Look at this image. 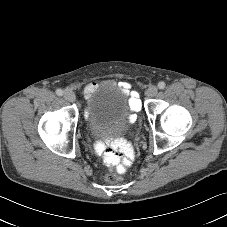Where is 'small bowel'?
<instances>
[{
	"mask_svg": "<svg viewBox=\"0 0 227 227\" xmlns=\"http://www.w3.org/2000/svg\"><path fill=\"white\" fill-rule=\"evenodd\" d=\"M119 88L130 95V106L134 109V110H138L139 106H140V102L138 99V94L135 91L131 90V86L129 83L127 82H120L119 84ZM98 87V83L96 82H92L89 83L88 85L85 86L84 88V94L86 96H89L92 92L95 91V89ZM103 150V146L102 145H97V151H101ZM124 154V158L122 159L121 162L117 163L116 165L118 166V169H122L123 167H126L130 164V159H131V152L129 149L124 148V150L122 151Z\"/></svg>",
	"mask_w": 227,
	"mask_h": 227,
	"instance_id": "small-bowel-1",
	"label": "small bowel"
}]
</instances>
